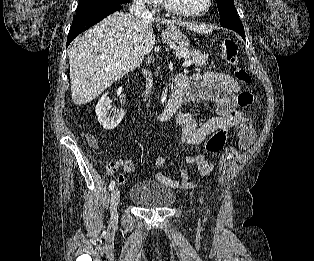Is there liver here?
I'll return each instance as SVG.
<instances>
[{
    "mask_svg": "<svg viewBox=\"0 0 314 261\" xmlns=\"http://www.w3.org/2000/svg\"><path fill=\"white\" fill-rule=\"evenodd\" d=\"M151 20L116 12L73 41L70 48L71 95L75 104L89 103L113 82L137 68L155 44ZM170 26H186L163 20ZM118 64L111 70L108 66Z\"/></svg>",
    "mask_w": 314,
    "mask_h": 261,
    "instance_id": "6515ba94",
    "label": "liver"
}]
</instances>
